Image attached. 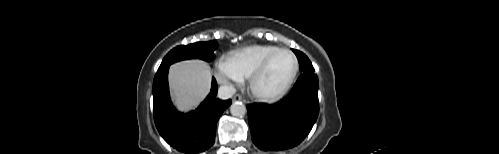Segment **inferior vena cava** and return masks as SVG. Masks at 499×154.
I'll use <instances>...</instances> for the list:
<instances>
[{"mask_svg": "<svg viewBox=\"0 0 499 154\" xmlns=\"http://www.w3.org/2000/svg\"><path fill=\"white\" fill-rule=\"evenodd\" d=\"M236 92V89L231 85H222L218 89V97L226 100L231 98Z\"/></svg>", "mask_w": 499, "mask_h": 154, "instance_id": "inferior-vena-cava-1", "label": "inferior vena cava"}]
</instances>
